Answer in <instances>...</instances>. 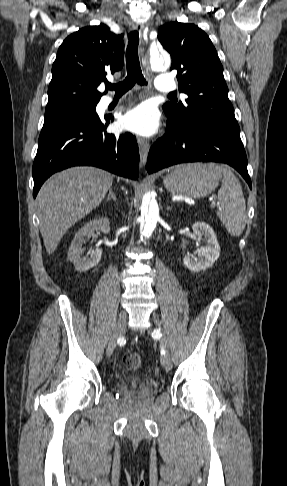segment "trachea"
<instances>
[{
    "label": "trachea",
    "instance_id": "3493384b",
    "mask_svg": "<svg viewBox=\"0 0 287 486\" xmlns=\"http://www.w3.org/2000/svg\"><path fill=\"white\" fill-rule=\"evenodd\" d=\"M128 46L126 50V78L117 84H107V88L115 90L116 95H123L129 91L136 83L139 85H147V82L142 74L138 57V43L139 33L138 31H132L128 35ZM173 96V94H169Z\"/></svg>",
    "mask_w": 287,
    "mask_h": 486
}]
</instances>
